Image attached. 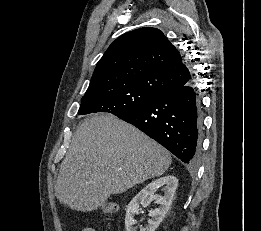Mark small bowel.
<instances>
[{
	"label": "small bowel",
	"mask_w": 261,
	"mask_h": 231,
	"mask_svg": "<svg viewBox=\"0 0 261 231\" xmlns=\"http://www.w3.org/2000/svg\"><path fill=\"white\" fill-rule=\"evenodd\" d=\"M82 231H98V230L92 227H86Z\"/></svg>",
	"instance_id": "c3829d8e"
}]
</instances>
